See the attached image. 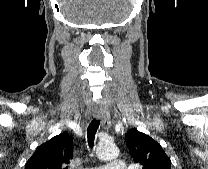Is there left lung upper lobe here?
Here are the masks:
<instances>
[{
    "instance_id": "left-lung-upper-lobe-1",
    "label": "left lung upper lobe",
    "mask_w": 208,
    "mask_h": 169,
    "mask_svg": "<svg viewBox=\"0 0 208 169\" xmlns=\"http://www.w3.org/2000/svg\"><path fill=\"white\" fill-rule=\"evenodd\" d=\"M126 144L135 163L142 169H171V161L161 145L133 128L126 134Z\"/></svg>"
}]
</instances>
